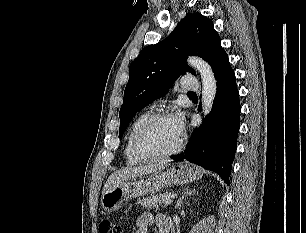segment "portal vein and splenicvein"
Returning a JSON list of instances; mask_svg holds the SVG:
<instances>
[{"label": "portal vein and splenic vein", "instance_id": "1", "mask_svg": "<svg viewBox=\"0 0 306 233\" xmlns=\"http://www.w3.org/2000/svg\"><path fill=\"white\" fill-rule=\"evenodd\" d=\"M172 202H173V199L168 198V199L165 200L164 204H165V205H169V204H171Z\"/></svg>", "mask_w": 306, "mask_h": 233}]
</instances>
